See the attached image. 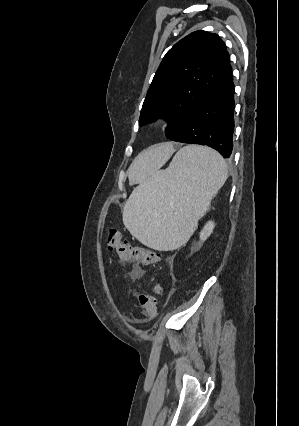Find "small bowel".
I'll list each match as a JSON object with an SVG mask.
<instances>
[{
  "instance_id": "1",
  "label": "small bowel",
  "mask_w": 299,
  "mask_h": 426,
  "mask_svg": "<svg viewBox=\"0 0 299 426\" xmlns=\"http://www.w3.org/2000/svg\"><path fill=\"white\" fill-rule=\"evenodd\" d=\"M143 275H144V271L139 267H135L132 271V278L134 280L140 279Z\"/></svg>"
}]
</instances>
